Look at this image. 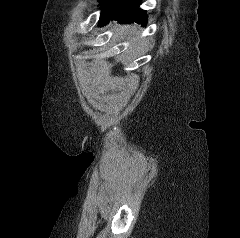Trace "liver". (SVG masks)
<instances>
[{
	"label": "liver",
	"mask_w": 240,
	"mask_h": 238,
	"mask_svg": "<svg viewBox=\"0 0 240 238\" xmlns=\"http://www.w3.org/2000/svg\"><path fill=\"white\" fill-rule=\"evenodd\" d=\"M126 26H121L120 29L121 31L125 30Z\"/></svg>",
	"instance_id": "liver-1"
}]
</instances>
